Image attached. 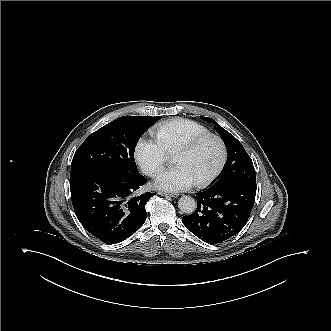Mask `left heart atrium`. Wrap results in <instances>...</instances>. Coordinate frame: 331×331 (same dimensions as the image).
Wrapping results in <instances>:
<instances>
[{
	"label": "left heart atrium",
	"mask_w": 331,
	"mask_h": 331,
	"mask_svg": "<svg viewBox=\"0 0 331 331\" xmlns=\"http://www.w3.org/2000/svg\"><path fill=\"white\" fill-rule=\"evenodd\" d=\"M157 185L166 191H185L190 189L195 182V179L185 169L180 167H172L158 174Z\"/></svg>",
	"instance_id": "obj_1"
}]
</instances>
